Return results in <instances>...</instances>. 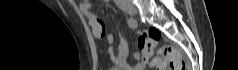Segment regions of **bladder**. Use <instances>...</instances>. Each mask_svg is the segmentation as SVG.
I'll return each instance as SVG.
<instances>
[{"label":"bladder","mask_w":238,"mask_h":70,"mask_svg":"<svg viewBox=\"0 0 238 70\" xmlns=\"http://www.w3.org/2000/svg\"><path fill=\"white\" fill-rule=\"evenodd\" d=\"M110 70H118V69H116L115 67H113V68H111Z\"/></svg>","instance_id":"31cf9c89"}]
</instances>
